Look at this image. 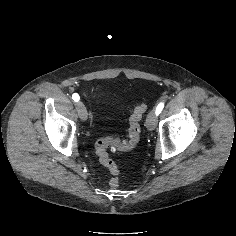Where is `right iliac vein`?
I'll use <instances>...</instances> for the list:
<instances>
[{
    "instance_id": "1",
    "label": "right iliac vein",
    "mask_w": 236,
    "mask_h": 236,
    "mask_svg": "<svg viewBox=\"0 0 236 236\" xmlns=\"http://www.w3.org/2000/svg\"><path fill=\"white\" fill-rule=\"evenodd\" d=\"M76 108H77V112H78L80 119L82 121H86L88 114H87V109H86L85 105L82 102H78L76 104Z\"/></svg>"
}]
</instances>
